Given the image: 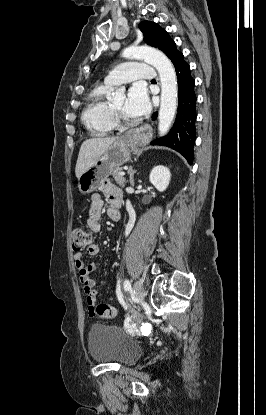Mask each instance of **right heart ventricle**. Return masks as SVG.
<instances>
[{
  "instance_id": "obj_1",
  "label": "right heart ventricle",
  "mask_w": 266,
  "mask_h": 415,
  "mask_svg": "<svg viewBox=\"0 0 266 415\" xmlns=\"http://www.w3.org/2000/svg\"><path fill=\"white\" fill-rule=\"evenodd\" d=\"M111 88L112 85L104 83L95 87L89 94L82 120L93 135H107L116 127L111 104L106 98Z\"/></svg>"
}]
</instances>
